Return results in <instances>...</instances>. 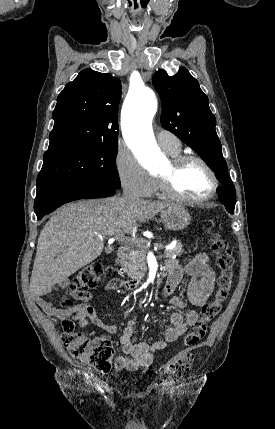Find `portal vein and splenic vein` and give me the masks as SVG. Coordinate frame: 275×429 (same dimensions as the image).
Instances as JSON below:
<instances>
[{"label": "portal vein and splenic vein", "mask_w": 275, "mask_h": 429, "mask_svg": "<svg viewBox=\"0 0 275 429\" xmlns=\"http://www.w3.org/2000/svg\"><path fill=\"white\" fill-rule=\"evenodd\" d=\"M110 240H118V241L125 242V243L129 242L130 244L133 243V242L139 243L140 241H142V240L136 241L134 238L126 239L123 234H117L115 236H112V238H110ZM155 246L156 247H162L161 244H156ZM173 247H174L173 245H170V246H166L165 248L166 249H171Z\"/></svg>", "instance_id": "portal-vein-and-splenic-vein-1"}]
</instances>
